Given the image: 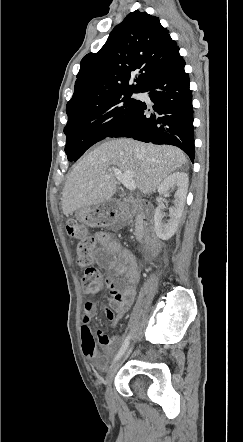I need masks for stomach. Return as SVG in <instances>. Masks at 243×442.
Returning a JSON list of instances; mask_svg holds the SVG:
<instances>
[{"mask_svg": "<svg viewBox=\"0 0 243 442\" xmlns=\"http://www.w3.org/2000/svg\"><path fill=\"white\" fill-rule=\"evenodd\" d=\"M77 219L91 227H109L116 223L118 214L108 202L95 207H83L75 212Z\"/></svg>", "mask_w": 243, "mask_h": 442, "instance_id": "obj_1", "label": "stomach"}]
</instances>
